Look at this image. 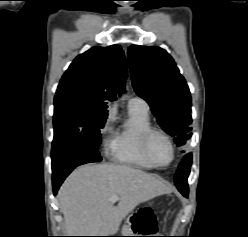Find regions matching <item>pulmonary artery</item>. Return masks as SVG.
<instances>
[{"mask_svg": "<svg viewBox=\"0 0 248 237\" xmlns=\"http://www.w3.org/2000/svg\"><path fill=\"white\" fill-rule=\"evenodd\" d=\"M128 105L129 106H138V107H141L145 110L149 109L148 103L140 97H134V98L130 99L128 102Z\"/></svg>", "mask_w": 248, "mask_h": 237, "instance_id": "e3ab8cb5", "label": "pulmonary artery"}]
</instances>
